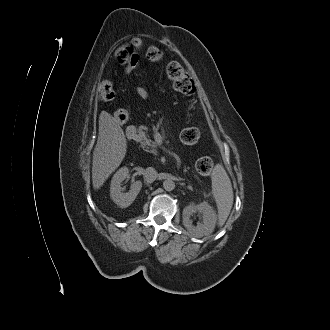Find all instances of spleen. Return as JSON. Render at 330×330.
Here are the masks:
<instances>
[{"label": "spleen", "mask_w": 330, "mask_h": 330, "mask_svg": "<svg viewBox=\"0 0 330 330\" xmlns=\"http://www.w3.org/2000/svg\"><path fill=\"white\" fill-rule=\"evenodd\" d=\"M211 179L212 193L218 210V226L222 227L233 206L232 184L222 164L215 165Z\"/></svg>", "instance_id": "spleen-1"}]
</instances>
